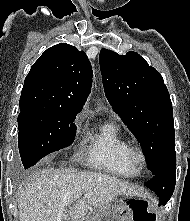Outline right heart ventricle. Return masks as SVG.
I'll return each instance as SVG.
<instances>
[{
    "label": "right heart ventricle",
    "mask_w": 190,
    "mask_h": 221,
    "mask_svg": "<svg viewBox=\"0 0 190 221\" xmlns=\"http://www.w3.org/2000/svg\"><path fill=\"white\" fill-rule=\"evenodd\" d=\"M88 142L87 162L92 168L127 178L138 174L128 158L130 143L117 122H106L88 135Z\"/></svg>",
    "instance_id": "e07e8e85"
}]
</instances>
